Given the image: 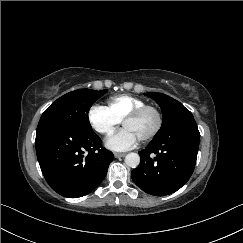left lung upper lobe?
Wrapping results in <instances>:
<instances>
[{
  "mask_svg": "<svg viewBox=\"0 0 243 243\" xmlns=\"http://www.w3.org/2000/svg\"><path fill=\"white\" fill-rule=\"evenodd\" d=\"M145 95L154 99L162 109V127L155 137L165 135L181 124L194 120L191 112L172 97L157 92H149Z\"/></svg>",
  "mask_w": 243,
  "mask_h": 243,
  "instance_id": "left-lung-upper-lobe-1",
  "label": "left lung upper lobe"
}]
</instances>
